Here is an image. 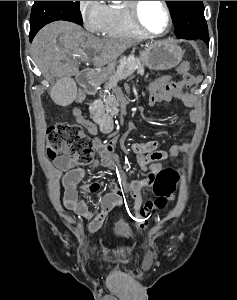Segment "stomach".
Segmentation results:
<instances>
[{
    "mask_svg": "<svg viewBox=\"0 0 237 300\" xmlns=\"http://www.w3.org/2000/svg\"><path fill=\"white\" fill-rule=\"evenodd\" d=\"M184 53L185 51L175 41H155L150 47L140 51V59L143 65L152 71H167L181 63ZM115 65L116 63H111L104 73L98 75L99 83L112 75Z\"/></svg>",
    "mask_w": 237,
    "mask_h": 300,
    "instance_id": "0dacf381",
    "label": "stomach"
}]
</instances>
